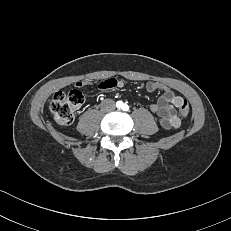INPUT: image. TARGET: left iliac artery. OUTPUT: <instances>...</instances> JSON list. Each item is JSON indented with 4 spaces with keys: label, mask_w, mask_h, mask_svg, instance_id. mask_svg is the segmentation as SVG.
Listing matches in <instances>:
<instances>
[{
    "label": "left iliac artery",
    "mask_w": 231,
    "mask_h": 231,
    "mask_svg": "<svg viewBox=\"0 0 231 231\" xmlns=\"http://www.w3.org/2000/svg\"><path fill=\"white\" fill-rule=\"evenodd\" d=\"M122 110H123V111H128V110H129V106H128L127 104H124V105L122 106Z\"/></svg>",
    "instance_id": "1"
}]
</instances>
